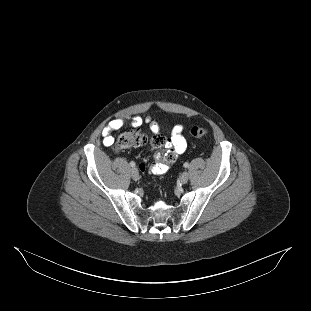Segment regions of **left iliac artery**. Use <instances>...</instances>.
Here are the masks:
<instances>
[{
    "instance_id": "1",
    "label": "left iliac artery",
    "mask_w": 311,
    "mask_h": 311,
    "mask_svg": "<svg viewBox=\"0 0 311 311\" xmlns=\"http://www.w3.org/2000/svg\"><path fill=\"white\" fill-rule=\"evenodd\" d=\"M185 168H187V167H189V164L186 162V163H184V165H183Z\"/></svg>"
}]
</instances>
